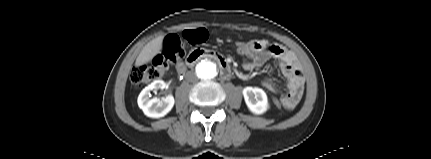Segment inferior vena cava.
<instances>
[{
	"mask_svg": "<svg viewBox=\"0 0 431 159\" xmlns=\"http://www.w3.org/2000/svg\"><path fill=\"white\" fill-rule=\"evenodd\" d=\"M187 79H188L189 81H196V80H197V77L194 75V73H193V72H188V73H187Z\"/></svg>",
	"mask_w": 431,
	"mask_h": 159,
	"instance_id": "1",
	"label": "inferior vena cava"
}]
</instances>
